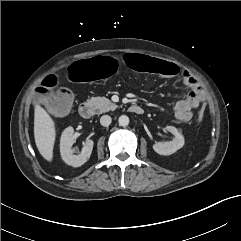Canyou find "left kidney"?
<instances>
[{
	"label": "left kidney",
	"instance_id": "5707ae66",
	"mask_svg": "<svg viewBox=\"0 0 241 241\" xmlns=\"http://www.w3.org/2000/svg\"><path fill=\"white\" fill-rule=\"evenodd\" d=\"M166 129L174 135L172 141L157 142L153 145V149L160 155H171L184 146V137L174 126H167Z\"/></svg>",
	"mask_w": 241,
	"mask_h": 241
}]
</instances>
